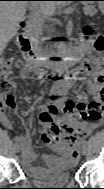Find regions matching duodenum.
I'll list each match as a JSON object with an SVG mask.
<instances>
[{
  "label": "duodenum",
  "instance_id": "1",
  "mask_svg": "<svg viewBox=\"0 0 104 189\" xmlns=\"http://www.w3.org/2000/svg\"><path fill=\"white\" fill-rule=\"evenodd\" d=\"M34 25L33 19H25L23 21V29L18 37V45L27 59L28 67L37 75H41L43 71V63L37 57V50L34 44V35L32 32ZM78 53L83 54V49L79 48Z\"/></svg>",
  "mask_w": 104,
  "mask_h": 189
}]
</instances>
